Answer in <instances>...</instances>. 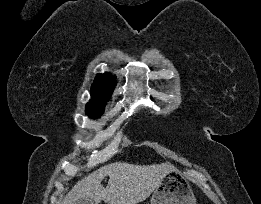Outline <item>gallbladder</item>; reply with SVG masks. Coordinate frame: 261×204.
I'll list each match as a JSON object with an SVG mask.
<instances>
[{
	"instance_id": "gallbladder-1",
	"label": "gallbladder",
	"mask_w": 261,
	"mask_h": 204,
	"mask_svg": "<svg viewBox=\"0 0 261 204\" xmlns=\"http://www.w3.org/2000/svg\"><path fill=\"white\" fill-rule=\"evenodd\" d=\"M75 204H95L94 201L92 199L89 198H81L78 199Z\"/></svg>"
}]
</instances>
